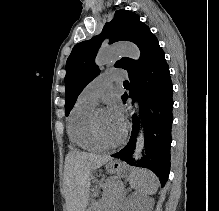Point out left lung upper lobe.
<instances>
[{"label":"left lung upper lobe","instance_id":"5c2ea615","mask_svg":"<svg viewBox=\"0 0 219 211\" xmlns=\"http://www.w3.org/2000/svg\"><path fill=\"white\" fill-rule=\"evenodd\" d=\"M109 38L110 44L118 41H131L140 51L138 61L124 57L115 63L130 74L140 68L161 48L149 27L140 21L139 16L128 10H117L111 22L106 23L101 34L90 40L76 44L66 62L65 114L69 115L78 95L100 72L95 65V57L102 42Z\"/></svg>","mask_w":219,"mask_h":211}]
</instances>
